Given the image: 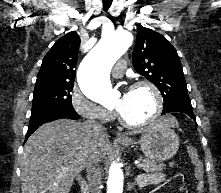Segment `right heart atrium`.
<instances>
[{"label": "right heart atrium", "instance_id": "1", "mask_svg": "<svg viewBox=\"0 0 221 193\" xmlns=\"http://www.w3.org/2000/svg\"><path fill=\"white\" fill-rule=\"evenodd\" d=\"M72 108L83 118L97 123H108L114 112L91 100L79 88L74 87L70 96Z\"/></svg>", "mask_w": 221, "mask_h": 193}]
</instances>
